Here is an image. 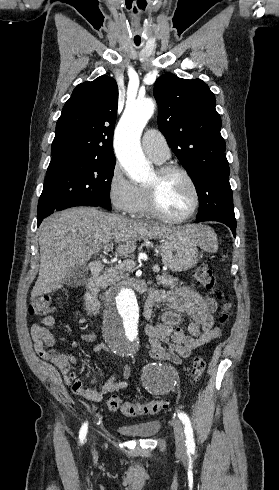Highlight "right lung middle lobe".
Masks as SVG:
<instances>
[{
    "instance_id": "obj_1",
    "label": "right lung middle lobe",
    "mask_w": 279,
    "mask_h": 490,
    "mask_svg": "<svg viewBox=\"0 0 279 490\" xmlns=\"http://www.w3.org/2000/svg\"><path fill=\"white\" fill-rule=\"evenodd\" d=\"M114 167V156L51 163L38 201L37 217H44L74 201H90L111 210L109 193Z\"/></svg>"
}]
</instances>
